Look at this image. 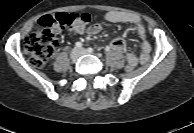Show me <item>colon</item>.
Wrapping results in <instances>:
<instances>
[{
  "mask_svg": "<svg viewBox=\"0 0 194 133\" xmlns=\"http://www.w3.org/2000/svg\"><path fill=\"white\" fill-rule=\"evenodd\" d=\"M90 13H56L43 16L39 20L40 29L28 35L24 40V51L29 62L35 67H43L53 55L58 45L59 34L69 28L74 32H80L92 20ZM132 65L125 66L123 73L130 75Z\"/></svg>",
  "mask_w": 194,
  "mask_h": 133,
  "instance_id": "obj_1",
  "label": "colon"
}]
</instances>
